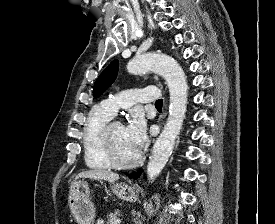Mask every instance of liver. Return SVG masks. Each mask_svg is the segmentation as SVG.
<instances>
[{"instance_id":"6515ba94","label":"liver","mask_w":275,"mask_h":224,"mask_svg":"<svg viewBox=\"0 0 275 224\" xmlns=\"http://www.w3.org/2000/svg\"><path fill=\"white\" fill-rule=\"evenodd\" d=\"M78 178H94V179H101L106 180L110 183H114L119 179V175L112 171H106L101 169H93L88 171H83L79 173L76 177Z\"/></svg>"}]
</instances>
